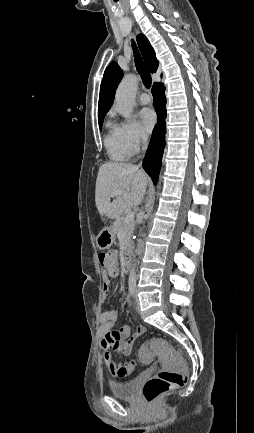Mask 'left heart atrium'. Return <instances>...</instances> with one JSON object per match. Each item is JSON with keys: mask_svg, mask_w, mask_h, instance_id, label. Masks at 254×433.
<instances>
[{"mask_svg": "<svg viewBox=\"0 0 254 433\" xmlns=\"http://www.w3.org/2000/svg\"><path fill=\"white\" fill-rule=\"evenodd\" d=\"M140 120H141L142 129L145 132H150L153 126L155 125L156 116L152 110L143 109L140 112Z\"/></svg>", "mask_w": 254, "mask_h": 433, "instance_id": "1", "label": "left heart atrium"}]
</instances>
